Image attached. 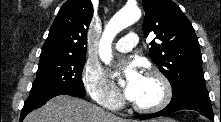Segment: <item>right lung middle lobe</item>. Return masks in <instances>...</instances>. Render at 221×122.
<instances>
[{"instance_id":"right-lung-middle-lobe-1","label":"right lung middle lobe","mask_w":221,"mask_h":122,"mask_svg":"<svg viewBox=\"0 0 221 122\" xmlns=\"http://www.w3.org/2000/svg\"><path fill=\"white\" fill-rule=\"evenodd\" d=\"M86 57L40 59L36 79L30 94L58 88H71L85 92L82 69Z\"/></svg>"}]
</instances>
